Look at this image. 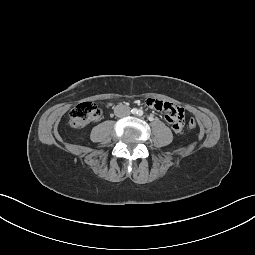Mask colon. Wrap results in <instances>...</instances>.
<instances>
[{
	"label": "colon",
	"instance_id": "colon-1",
	"mask_svg": "<svg viewBox=\"0 0 255 255\" xmlns=\"http://www.w3.org/2000/svg\"><path fill=\"white\" fill-rule=\"evenodd\" d=\"M101 117L102 111L96 104L92 102H83L71 110L69 124L74 129H80L88 124L99 121ZM195 126V120L190 118L188 121V128L194 129Z\"/></svg>",
	"mask_w": 255,
	"mask_h": 255
}]
</instances>
